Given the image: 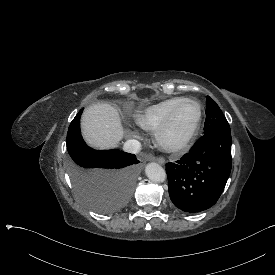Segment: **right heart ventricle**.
I'll return each mask as SVG.
<instances>
[{
	"instance_id": "1",
	"label": "right heart ventricle",
	"mask_w": 275,
	"mask_h": 275,
	"mask_svg": "<svg viewBox=\"0 0 275 275\" xmlns=\"http://www.w3.org/2000/svg\"><path fill=\"white\" fill-rule=\"evenodd\" d=\"M182 97L165 99L132 112V120L146 131L157 130L164 122L170 110L183 100Z\"/></svg>"
}]
</instances>
